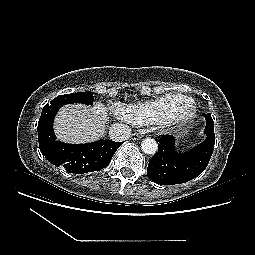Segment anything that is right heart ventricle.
I'll list each match as a JSON object with an SVG mask.
<instances>
[{
  "label": "right heart ventricle",
  "mask_w": 255,
  "mask_h": 255,
  "mask_svg": "<svg viewBox=\"0 0 255 255\" xmlns=\"http://www.w3.org/2000/svg\"><path fill=\"white\" fill-rule=\"evenodd\" d=\"M193 99L182 93H167L150 101H144L123 108L122 118L133 125L154 124L173 104H188Z\"/></svg>",
  "instance_id": "right-heart-ventricle-1"
}]
</instances>
